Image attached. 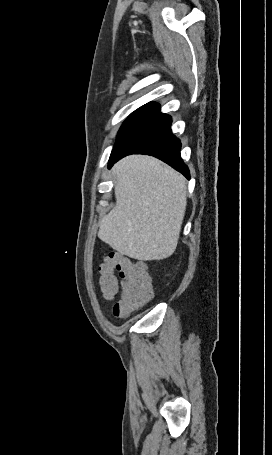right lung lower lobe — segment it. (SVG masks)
<instances>
[{
  "label": "right lung lower lobe",
  "mask_w": 272,
  "mask_h": 455,
  "mask_svg": "<svg viewBox=\"0 0 272 455\" xmlns=\"http://www.w3.org/2000/svg\"><path fill=\"white\" fill-rule=\"evenodd\" d=\"M172 119L169 115L157 113L141 125L131 130L113 148L108 167L129 154H148L190 178L188 167L180 157L181 143L170 129Z\"/></svg>",
  "instance_id": "98d812e1"
}]
</instances>
